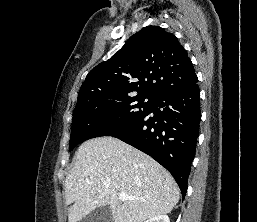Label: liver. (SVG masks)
I'll list each match as a JSON object with an SVG mask.
<instances>
[{"mask_svg":"<svg viewBox=\"0 0 257 222\" xmlns=\"http://www.w3.org/2000/svg\"><path fill=\"white\" fill-rule=\"evenodd\" d=\"M120 192L138 199L120 200ZM179 194L166 169L113 137L83 143L65 180L68 222H78L101 206L110 207L114 222H145L170 213Z\"/></svg>","mask_w":257,"mask_h":222,"instance_id":"1","label":"liver"}]
</instances>
